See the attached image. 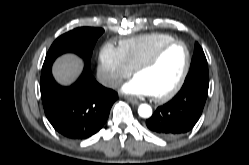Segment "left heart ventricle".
Masks as SVG:
<instances>
[{"label":"left heart ventricle","mask_w":249,"mask_h":165,"mask_svg":"<svg viewBox=\"0 0 249 165\" xmlns=\"http://www.w3.org/2000/svg\"><path fill=\"white\" fill-rule=\"evenodd\" d=\"M186 62V51L182 45L167 49L159 61L139 72V77L152 95H162L170 91L178 82Z\"/></svg>","instance_id":"1"}]
</instances>
